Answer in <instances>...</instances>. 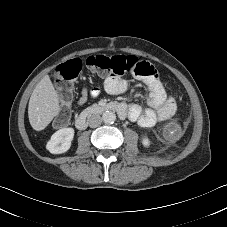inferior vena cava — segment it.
<instances>
[{"instance_id": "602c4592", "label": "inferior vena cava", "mask_w": 227, "mask_h": 227, "mask_svg": "<svg viewBox=\"0 0 227 227\" xmlns=\"http://www.w3.org/2000/svg\"><path fill=\"white\" fill-rule=\"evenodd\" d=\"M88 122H89V126L91 128H96V127H98L101 124L102 118L99 115H92L88 119Z\"/></svg>"}]
</instances>
